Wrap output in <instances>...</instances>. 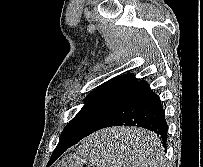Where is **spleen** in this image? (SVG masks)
<instances>
[{
    "mask_svg": "<svg viewBox=\"0 0 203 167\" xmlns=\"http://www.w3.org/2000/svg\"><path fill=\"white\" fill-rule=\"evenodd\" d=\"M139 162L143 166L139 167H164V150L159 139L151 134L144 135L140 142ZM113 143L111 139L101 134H95L83 141L79 153L97 167H127V163L115 160L111 149Z\"/></svg>",
    "mask_w": 203,
    "mask_h": 167,
    "instance_id": "obj_1",
    "label": "spleen"
}]
</instances>
